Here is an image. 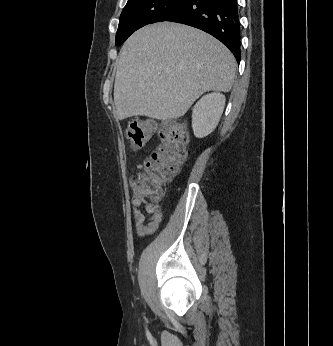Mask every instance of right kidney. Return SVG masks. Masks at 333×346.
Listing matches in <instances>:
<instances>
[{
	"instance_id": "ca27d5eb",
	"label": "right kidney",
	"mask_w": 333,
	"mask_h": 346,
	"mask_svg": "<svg viewBox=\"0 0 333 346\" xmlns=\"http://www.w3.org/2000/svg\"><path fill=\"white\" fill-rule=\"evenodd\" d=\"M225 96L211 93L203 96L194 106L192 128L197 138L209 135L218 125L225 106Z\"/></svg>"
}]
</instances>
